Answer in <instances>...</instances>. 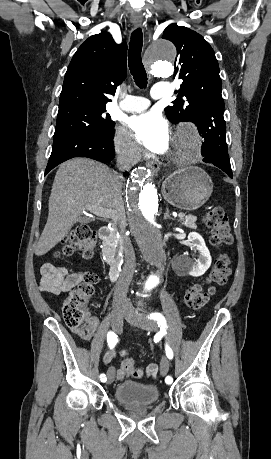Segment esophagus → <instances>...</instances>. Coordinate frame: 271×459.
Masks as SVG:
<instances>
[{
    "mask_svg": "<svg viewBox=\"0 0 271 459\" xmlns=\"http://www.w3.org/2000/svg\"><path fill=\"white\" fill-rule=\"evenodd\" d=\"M134 25L139 27V26H141V23L140 22L139 23L136 22V23H134ZM145 65H147L146 62H145ZM147 68H148V66H147ZM146 165H147L148 169L150 170V172L153 175L156 174L159 171V165L155 160H148Z\"/></svg>",
    "mask_w": 271,
    "mask_h": 459,
    "instance_id": "1",
    "label": "esophagus"
}]
</instances>
